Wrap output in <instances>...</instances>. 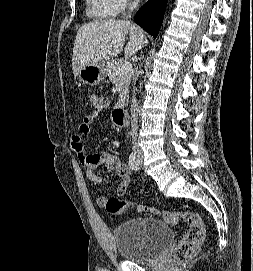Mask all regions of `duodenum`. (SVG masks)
<instances>
[{"label":"duodenum","instance_id":"1","mask_svg":"<svg viewBox=\"0 0 253 271\" xmlns=\"http://www.w3.org/2000/svg\"><path fill=\"white\" fill-rule=\"evenodd\" d=\"M112 119L117 127H123L126 123V110L123 107H118L114 110Z\"/></svg>","mask_w":253,"mask_h":271}]
</instances>
